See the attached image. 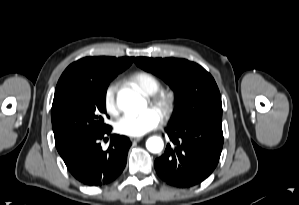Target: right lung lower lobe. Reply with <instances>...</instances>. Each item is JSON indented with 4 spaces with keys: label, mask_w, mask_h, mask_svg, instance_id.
Listing matches in <instances>:
<instances>
[{
    "label": "right lung lower lobe",
    "mask_w": 299,
    "mask_h": 205,
    "mask_svg": "<svg viewBox=\"0 0 299 205\" xmlns=\"http://www.w3.org/2000/svg\"><path fill=\"white\" fill-rule=\"evenodd\" d=\"M110 132L109 126L102 132L77 138L58 151L70 173L81 183L102 186L122 173L131 142L126 136L114 134L104 151L99 142Z\"/></svg>",
    "instance_id": "obj_1"
}]
</instances>
